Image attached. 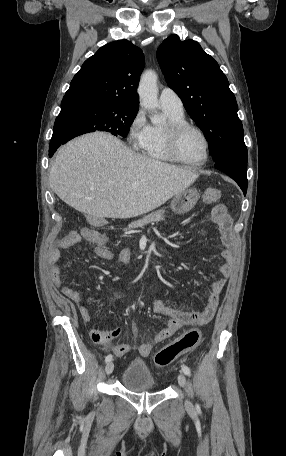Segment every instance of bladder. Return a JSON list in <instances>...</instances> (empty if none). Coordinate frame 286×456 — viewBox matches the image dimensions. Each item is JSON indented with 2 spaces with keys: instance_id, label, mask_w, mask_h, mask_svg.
I'll return each mask as SVG.
<instances>
[{
  "instance_id": "1",
  "label": "bladder",
  "mask_w": 286,
  "mask_h": 456,
  "mask_svg": "<svg viewBox=\"0 0 286 456\" xmlns=\"http://www.w3.org/2000/svg\"><path fill=\"white\" fill-rule=\"evenodd\" d=\"M121 383L131 391H154L155 380L144 363L132 362L124 370Z\"/></svg>"
}]
</instances>
